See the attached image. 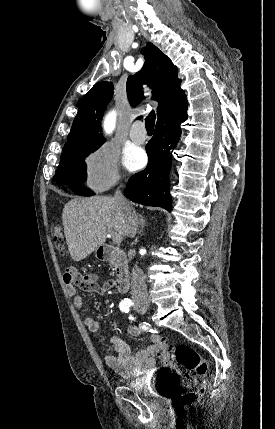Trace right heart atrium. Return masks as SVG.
Segmentation results:
<instances>
[{
	"label": "right heart atrium",
	"mask_w": 275,
	"mask_h": 429,
	"mask_svg": "<svg viewBox=\"0 0 275 429\" xmlns=\"http://www.w3.org/2000/svg\"><path fill=\"white\" fill-rule=\"evenodd\" d=\"M87 185L97 191L109 188L121 179L119 155L109 145H102L84 160Z\"/></svg>",
	"instance_id": "right-heart-atrium-1"
}]
</instances>
